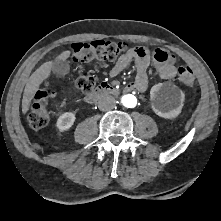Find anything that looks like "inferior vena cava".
Segmentation results:
<instances>
[{"label": "inferior vena cava", "mask_w": 221, "mask_h": 221, "mask_svg": "<svg viewBox=\"0 0 221 221\" xmlns=\"http://www.w3.org/2000/svg\"><path fill=\"white\" fill-rule=\"evenodd\" d=\"M116 105V100L114 97L110 95H105L101 97V99L98 102V107L101 111H109L112 110Z\"/></svg>", "instance_id": "obj_1"}]
</instances>
